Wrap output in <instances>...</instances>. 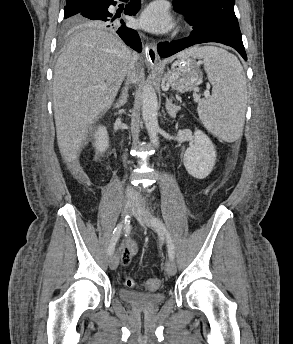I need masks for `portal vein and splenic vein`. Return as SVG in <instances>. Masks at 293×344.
<instances>
[{
  "mask_svg": "<svg viewBox=\"0 0 293 344\" xmlns=\"http://www.w3.org/2000/svg\"><path fill=\"white\" fill-rule=\"evenodd\" d=\"M209 91L208 90H206L205 92H204V95L207 97V96H209ZM196 99H198L199 98V96L198 95H195L194 96Z\"/></svg>",
  "mask_w": 293,
  "mask_h": 344,
  "instance_id": "portal-vein-and-splenic-vein-1",
  "label": "portal vein and splenic vein"
}]
</instances>
